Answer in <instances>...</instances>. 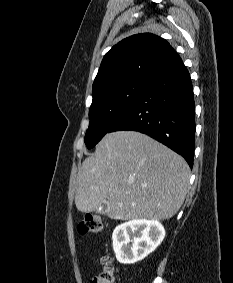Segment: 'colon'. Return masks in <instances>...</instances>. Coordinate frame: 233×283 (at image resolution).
I'll use <instances>...</instances> for the list:
<instances>
[{
  "label": "colon",
  "mask_w": 233,
  "mask_h": 283,
  "mask_svg": "<svg viewBox=\"0 0 233 283\" xmlns=\"http://www.w3.org/2000/svg\"><path fill=\"white\" fill-rule=\"evenodd\" d=\"M102 220L98 215L86 214L78 226L79 233L82 235L99 234L102 230ZM103 271L91 280L90 283H114V271L109 257L103 258Z\"/></svg>",
  "instance_id": "1"
}]
</instances>
